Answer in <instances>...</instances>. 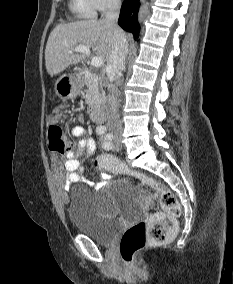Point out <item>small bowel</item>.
<instances>
[{"mask_svg": "<svg viewBox=\"0 0 233 284\" xmlns=\"http://www.w3.org/2000/svg\"><path fill=\"white\" fill-rule=\"evenodd\" d=\"M71 133L77 137V151H70L64 155V161L56 158L52 160L53 179L61 192L68 190L69 185L83 178V162L92 156L96 149L94 139L87 135L86 130L79 125L71 128ZM108 181V176L103 175L96 187L100 188Z\"/></svg>", "mask_w": 233, "mask_h": 284, "instance_id": "c3829d8e", "label": "small bowel"}]
</instances>
